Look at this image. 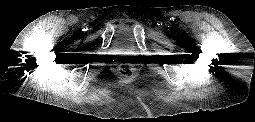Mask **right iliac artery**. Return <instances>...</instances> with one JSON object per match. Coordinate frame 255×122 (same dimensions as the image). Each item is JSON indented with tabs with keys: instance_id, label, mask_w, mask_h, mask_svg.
Instances as JSON below:
<instances>
[{
	"instance_id": "obj_1",
	"label": "right iliac artery",
	"mask_w": 255,
	"mask_h": 122,
	"mask_svg": "<svg viewBox=\"0 0 255 122\" xmlns=\"http://www.w3.org/2000/svg\"><path fill=\"white\" fill-rule=\"evenodd\" d=\"M87 24H84V26H83V31H86L87 30Z\"/></svg>"
}]
</instances>
